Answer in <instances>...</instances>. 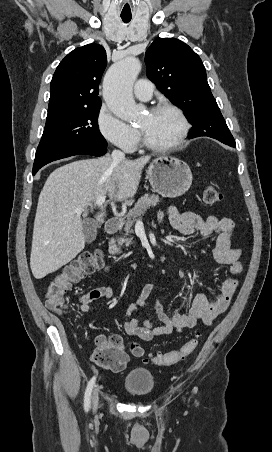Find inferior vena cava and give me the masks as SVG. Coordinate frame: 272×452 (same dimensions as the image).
<instances>
[{
	"label": "inferior vena cava",
	"instance_id": "inferior-vena-cava-1",
	"mask_svg": "<svg viewBox=\"0 0 272 452\" xmlns=\"http://www.w3.org/2000/svg\"><path fill=\"white\" fill-rule=\"evenodd\" d=\"M111 157L114 163H119L125 159V154L120 150H114Z\"/></svg>",
	"mask_w": 272,
	"mask_h": 452
}]
</instances>
